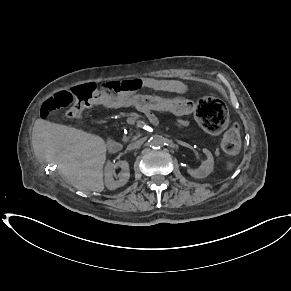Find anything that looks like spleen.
<instances>
[{"label":"spleen","instance_id":"obj_1","mask_svg":"<svg viewBox=\"0 0 291 291\" xmlns=\"http://www.w3.org/2000/svg\"><path fill=\"white\" fill-rule=\"evenodd\" d=\"M232 168H233V163L229 162V163L227 164V169H228V170H231Z\"/></svg>","mask_w":291,"mask_h":291}]
</instances>
